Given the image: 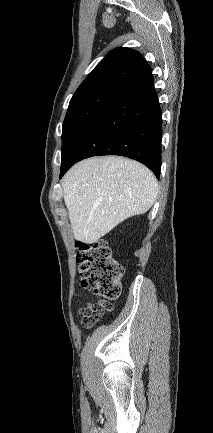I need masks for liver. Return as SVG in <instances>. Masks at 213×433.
Wrapping results in <instances>:
<instances>
[{
  "mask_svg": "<svg viewBox=\"0 0 213 433\" xmlns=\"http://www.w3.org/2000/svg\"><path fill=\"white\" fill-rule=\"evenodd\" d=\"M62 187L73 235L87 244L146 213L158 194L150 169L118 156L80 161L65 174Z\"/></svg>",
  "mask_w": 213,
  "mask_h": 433,
  "instance_id": "obj_1",
  "label": "liver"
}]
</instances>
